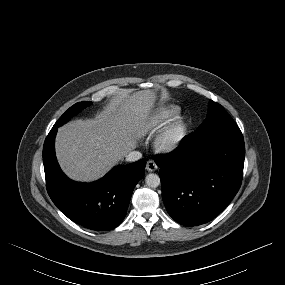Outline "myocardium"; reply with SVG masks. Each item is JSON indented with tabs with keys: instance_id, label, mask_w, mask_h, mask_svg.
I'll return each instance as SVG.
<instances>
[{
	"instance_id": "1",
	"label": "myocardium",
	"mask_w": 285,
	"mask_h": 285,
	"mask_svg": "<svg viewBox=\"0 0 285 285\" xmlns=\"http://www.w3.org/2000/svg\"><path fill=\"white\" fill-rule=\"evenodd\" d=\"M187 132V124L183 117L172 119L155 139V147L158 151L170 154L176 152L182 145Z\"/></svg>"
}]
</instances>
